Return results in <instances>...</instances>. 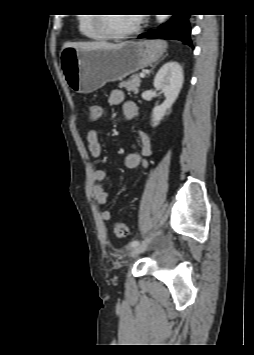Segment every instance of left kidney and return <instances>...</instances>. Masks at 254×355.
Instances as JSON below:
<instances>
[{
    "label": "left kidney",
    "mask_w": 254,
    "mask_h": 355,
    "mask_svg": "<svg viewBox=\"0 0 254 355\" xmlns=\"http://www.w3.org/2000/svg\"><path fill=\"white\" fill-rule=\"evenodd\" d=\"M183 81V69L177 62H167L157 72L154 78V87L162 91L165 96V101L153 109V127L159 125L166 113L171 110L172 105L180 93Z\"/></svg>",
    "instance_id": "5707ae66"
}]
</instances>
